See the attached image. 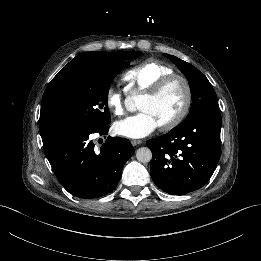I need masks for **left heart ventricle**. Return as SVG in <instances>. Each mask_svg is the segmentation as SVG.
<instances>
[{
    "label": "left heart ventricle",
    "mask_w": 261,
    "mask_h": 261,
    "mask_svg": "<svg viewBox=\"0 0 261 261\" xmlns=\"http://www.w3.org/2000/svg\"><path fill=\"white\" fill-rule=\"evenodd\" d=\"M184 99V87L182 83L176 82L155 99L143 97L140 101L139 109L151 113L158 123L162 125L181 110Z\"/></svg>",
    "instance_id": "obj_1"
}]
</instances>
